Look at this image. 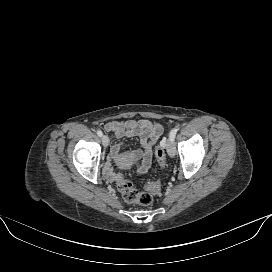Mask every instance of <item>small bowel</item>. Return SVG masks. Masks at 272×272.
<instances>
[{
    "instance_id": "obj_1",
    "label": "small bowel",
    "mask_w": 272,
    "mask_h": 272,
    "mask_svg": "<svg viewBox=\"0 0 272 272\" xmlns=\"http://www.w3.org/2000/svg\"><path fill=\"white\" fill-rule=\"evenodd\" d=\"M105 131L114 134L117 138L137 137L140 148L128 152L125 157L130 160L141 159L139 172H145L152 161V148L163 132L160 124L149 120L110 121L104 125ZM123 143L114 145L111 149L116 158L121 156Z\"/></svg>"
}]
</instances>
